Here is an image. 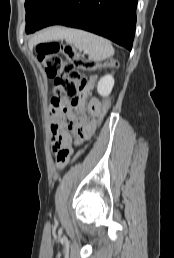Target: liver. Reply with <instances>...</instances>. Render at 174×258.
<instances>
[{
	"instance_id": "6515ba94",
	"label": "liver",
	"mask_w": 174,
	"mask_h": 258,
	"mask_svg": "<svg viewBox=\"0 0 174 258\" xmlns=\"http://www.w3.org/2000/svg\"><path fill=\"white\" fill-rule=\"evenodd\" d=\"M59 30H60L59 28H55V29H51V30H48V31H44V32L38 34L34 39H32L30 44L34 45L38 42L47 41V40H50V39H56L57 37L54 34V32L58 33Z\"/></svg>"
}]
</instances>
